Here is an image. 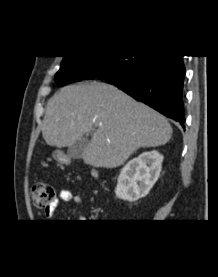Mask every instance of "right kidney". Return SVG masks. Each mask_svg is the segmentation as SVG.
I'll return each instance as SVG.
<instances>
[{
    "mask_svg": "<svg viewBox=\"0 0 218 277\" xmlns=\"http://www.w3.org/2000/svg\"><path fill=\"white\" fill-rule=\"evenodd\" d=\"M163 155L158 151L143 152L130 160L120 171L116 197L129 202L145 197L158 180Z\"/></svg>",
    "mask_w": 218,
    "mask_h": 277,
    "instance_id": "ca27d5eb",
    "label": "right kidney"
}]
</instances>
